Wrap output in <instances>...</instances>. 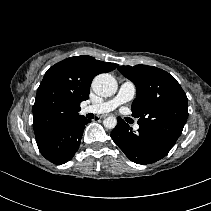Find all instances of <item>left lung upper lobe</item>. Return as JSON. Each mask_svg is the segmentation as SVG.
I'll list each match as a JSON object with an SVG mask.
<instances>
[{
	"label": "left lung upper lobe",
	"instance_id": "5c2ea615",
	"mask_svg": "<svg viewBox=\"0 0 211 211\" xmlns=\"http://www.w3.org/2000/svg\"><path fill=\"white\" fill-rule=\"evenodd\" d=\"M118 70L136 86L131 110L139 118V127L174 146L188 117V99L179 83L153 66H119Z\"/></svg>",
	"mask_w": 211,
	"mask_h": 211
}]
</instances>
